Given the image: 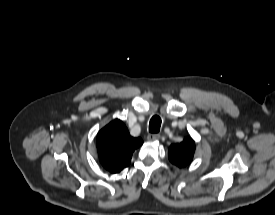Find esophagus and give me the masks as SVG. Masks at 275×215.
Instances as JSON below:
<instances>
[{
	"label": "esophagus",
	"mask_w": 275,
	"mask_h": 215,
	"mask_svg": "<svg viewBox=\"0 0 275 215\" xmlns=\"http://www.w3.org/2000/svg\"><path fill=\"white\" fill-rule=\"evenodd\" d=\"M147 139L149 141H158L160 139V135L159 134H149L147 136Z\"/></svg>",
	"instance_id": "34e87169"
}]
</instances>
